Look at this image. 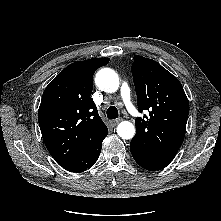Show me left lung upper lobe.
<instances>
[{
	"label": "left lung upper lobe",
	"mask_w": 221,
	"mask_h": 221,
	"mask_svg": "<svg viewBox=\"0 0 221 221\" xmlns=\"http://www.w3.org/2000/svg\"><path fill=\"white\" fill-rule=\"evenodd\" d=\"M138 109L149 116L136 118L130 146L140 156L170 163L182 145L189 102L179 80L152 59L134 56L132 64Z\"/></svg>",
	"instance_id": "left-lung-upper-lobe-1"
}]
</instances>
